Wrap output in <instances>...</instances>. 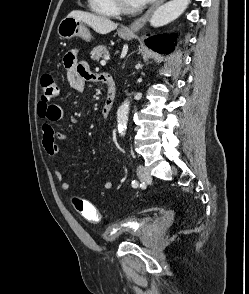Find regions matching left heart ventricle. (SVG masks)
I'll list each match as a JSON object with an SVG mask.
<instances>
[{
	"label": "left heart ventricle",
	"mask_w": 249,
	"mask_h": 294,
	"mask_svg": "<svg viewBox=\"0 0 249 294\" xmlns=\"http://www.w3.org/2000/svg\"><path fill=\"white\" fill-rule=\"evenodd\" d=\"M125 3L128 5V6H131V7H134L135 5L133 4L132 0H124Z\"/></svg>",
	"instance_id": "obj_1"
}]
</instances>
